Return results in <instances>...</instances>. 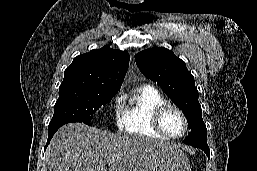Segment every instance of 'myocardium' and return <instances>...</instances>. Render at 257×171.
<instances>
[{"label":"myocardium","mask_w":257,"mask_h":171,"mask_svg":"<svg viewBox=\"0 0 257 171\" xmlns=\"http://www.w3.org/2000/svg\"><path fill=\"white\" fill-rule=\"evenodd\" d=\"M169 110H175L182 118L183 120V123H184V130L183 132L178 135V136H172L170 135L166 130L165 128L163 127V124H162V120H163V117L165 115V113ZM152 125H153V128L159 132L160 134H162L164 137H166L167 139H180L182 138L183 136H185V134L187 133L188 131V128H189V124H188V119L186 117V114L184 113V111L179 108L178 106L174 105V104H171L169 102L159 106L153 113V117H152Z\"/></svg>","instance_id":"1"}]
</instances>
